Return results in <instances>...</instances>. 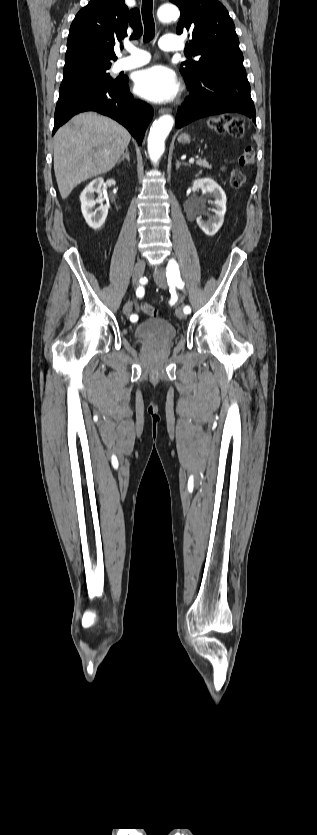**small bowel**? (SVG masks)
Returning a JSON list of instances; mask_svg holds the SVG:
<instances>
[{
	"label": "small bowel",
	"instance_id": "1",
	"mask_svg": "<svg viewBox=\"0 0 317 835\" xmlns=\"http://www.w3.org/2000/svg\"><path fill=\"white\" fill-rule=\"evenodd\" d=\"M127 304H128V306H131V307H132V302H128ZM131 310H132V309H131ZM134 315H135V314H134ZM136 316H137V315H136Z\"/></svg>",
	"mask_w": 317,
	"mask_h": 835
}]
</instances>
